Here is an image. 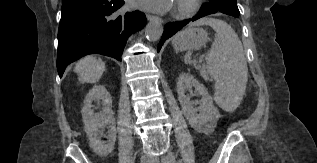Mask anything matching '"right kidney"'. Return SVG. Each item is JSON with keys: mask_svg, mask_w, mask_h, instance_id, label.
<instances>
[{"mask_svg": "<svg viewBox=\"0 0 317 163\" xmlns=\"http://www.w3.org/2000/svg\"><path fill=\"white\" fill-rule=\"evenodd\" d=\"M99 100H102L103 110L98 114H94L92 103ZM82 119L91 149L100 157H105L111 153L116 142V123L112 111V99L104 86L95 85L86 95L82 108ZM104 126L109 128L106 136L108 139L107 143L101 141L102 134L99 130Z\"/></svg>", "mask_w": 317, "mask_h": 163, "instance_id": "obj_1", "label": "right kidney"}]
</instances>
